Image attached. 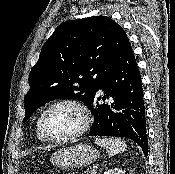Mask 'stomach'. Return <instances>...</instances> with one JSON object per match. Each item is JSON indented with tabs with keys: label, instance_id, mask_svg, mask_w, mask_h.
Masks as SVG:
<instances>
[{
	"label": "stomach",
	"instance_id": "obj_1",
	"mask_svg": "<svg viewBox=\"0 0 175 174\" xmlns=\"http://www.w3.org/2000/svg\"><path fill=\"white\" fill-rule=\"evenodd\" d=\"M100 153L87 144L64 147L51 156V162L61 169L85 167L96 161Z\"/></svg>",
	"mask_w": 175,
	"mask_h": 174
}]
</instances>
